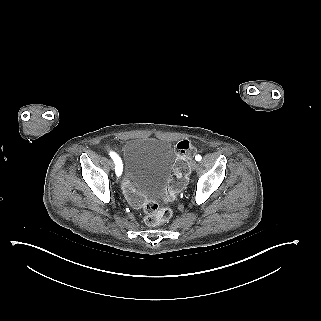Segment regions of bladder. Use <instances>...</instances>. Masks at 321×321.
<instances>
[{
  "instance_id": "obj_1",
  "label": "bladder",
  "mask_w": 321,
  "mask_h": 321,
  "mask_svg": "<svg viewBox=\"0 0 321 321\" xmlns=\"http://www.w3.org/2000/svg\"><path fill=\"white\" fill-rule=\"evenodd\" d=\"M176 160L166 140L137 137L125 142L121 153L122 183L144 201L162 199Z\"/></svg>"
}]
</instances>
